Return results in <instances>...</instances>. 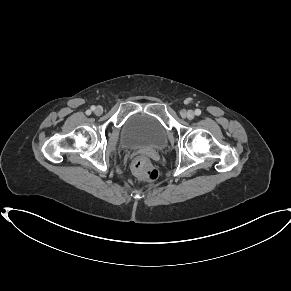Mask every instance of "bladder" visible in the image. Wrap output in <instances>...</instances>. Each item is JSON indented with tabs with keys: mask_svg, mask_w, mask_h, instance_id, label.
I'll list each match as a JSON object with an SVG mask.
<instances>
[{
	"mask_svg": "<svg viewBox=\"0 0 291 291\" xmlns=\"http://www.w3.org/2000/svg\"><path fill=\"white\" fill-rule=\"evenodd\" d=\"M167 130L155 118L137 114L124 124L119 139L121 149H159L167 142Z\"/></svg>",
	"mask_w": 291,
	"mask_h": 291,
	"instance_id": "bladder-1",
	"label": "bladder"
}]
</instances>
